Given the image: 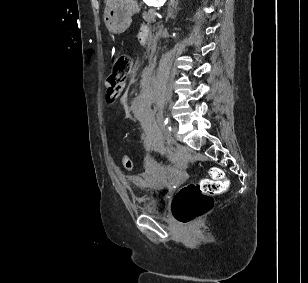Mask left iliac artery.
<instances>
[{"mask_svg": "<svg viewBox=\"0 0 308 283\" xmlns=\"http://www.w3.org/2000/svg\"><path fill=\"white\" fill-rule=\"evenodd\" d=\"M170 120L168 118L165 119L164 121V126L166 127V130L167 131H170L171 132V126H170Z\"/></svg>", "mask_w": 308, "mask_h": 283, "instance_id": "obj_1", "label": "left iliac artery"}]
</instances>
